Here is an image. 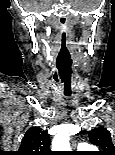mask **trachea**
I'll use <instances>...</instances> for the list:
<instances>
[{"label": "trachea", "instance_id": "trachea-1", "mask_svg": "<svg viewBox=\"0 0 115 155\" xmlns=\"http://www.w3.org/2000/svg\"><path fill=\"white\" fill-rule=\"evenodd\" d=\"M62 90H64L63 96H72L71 87H62Z\"/></svg>", "mask_w": 115, "mask_h": 155}]
</instances>
